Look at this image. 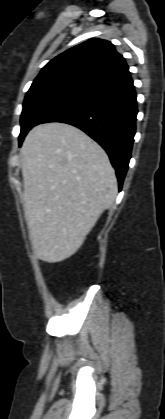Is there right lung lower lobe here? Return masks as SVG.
<instances>
[{"label": "right lung lower lobe", "instance_id": "right-lung-lower-lobe-1", "mask_svg": "<svg viewBox=\"0 0 165 419\" xmlns=\"http://www.w3.org/2000/svg\"><path fill=\"white\" fill-rule=\"evenodd\" d=\"M137 112L136 93L129 74L56 108L36 125L63 122L87 133L109 155L121 190L131 158Z\"/></svg>", "mask_w": 165, "mask_h": 419}]
</instances>
